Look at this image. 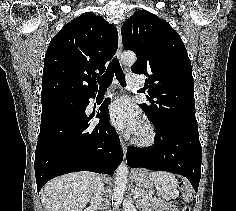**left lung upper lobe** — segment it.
I'll use <instances>...</instances> for the list:
<instances>
[{
	"label": "left lung upper lobe",
	"mask_w": 236,
	"mask_h": 211,
	"mask_svg": "<svg viewBox=\"0 0 236 211\" xmlns=\"http://www.w3.org/2000/svg\"><path fill=\"white\" fill-rule=\"evenodd\" d=\"M121 34L124 48L137 55L131 71L146 75L148 103L140 107L149 120L159 125L197 126L192 68L179 34L145 10L130 17Z\"/></svg>",
	"instance_id": "5c2ea615"
}]
</instances>
